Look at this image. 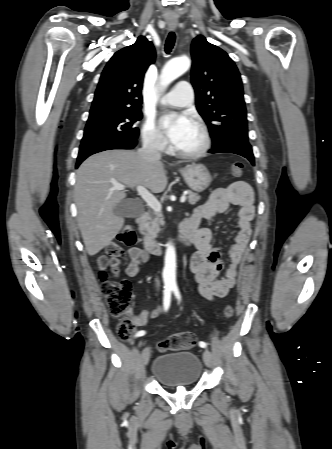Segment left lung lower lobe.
Here are the masks:
<instances>
[{
    "label": "left lung lower lobe",
    "mask_w": 332,
    "mask_h": 449,
    "mask_svg": "<svg viewBox=\"0 0 332 449\" xmlns=\"http://www.w3.org/2000/svg\"><path fill=\"white\" fill-rule=\"evenodd\" d=\"M211 153H234L247 158L254 165V155L248 140L232 139L218 146L212 147Z\"/></svg>",
    "instance_id": "0a47b994"
}]
</instances>
